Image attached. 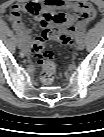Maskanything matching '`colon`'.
Here are the masks:
<instances>
[{"label": "colon", "mask_w": 104, "mask_h": 137, "mask_svg": "<svg viewBox=\"0 0 104 137\" xmlns=\"http://www.w3.org/2000/svg\"><path fill=\"white\" fill-rule=\"evenodd\" d=\"M47 40H56L63 45L71 46L72 37L64 26L54 23L49 18L43 21V32L31 44L30 52L41 67V80L51 83L56 75V65L52 54L46 49Z\"/></svg>", "instance_id": "colon-1"}]
</instances>
